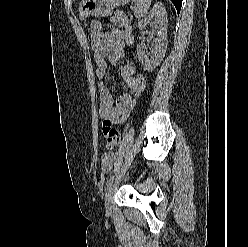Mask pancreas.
I'll return each mask as SVG.
<instances>
[{
  "label": "pancreas",
  "instance_id": "obj_1",
  "mask_svg": "<svg viewBox=\"0 0 248 247\" xmlns=\"http://www.w3.org/2000/svg\"><path fill=\"white\" fill-rule=\"evenodd\" d=\"M112 21L122 28H129V19L127 17H123L122 15H119L117 17L112 18Z\"/></svg>",
  "mask_w": 248,
  "mask_h": 247
}]
</instances>
